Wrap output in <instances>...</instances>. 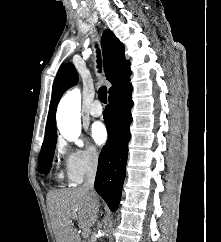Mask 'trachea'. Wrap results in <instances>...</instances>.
Instances as JSON below:
<instances>
[{"label": "trachea", "instance_id": "3493384b", "mask_svg": "<svg viewBox=\"0 0 221 242\" xmlns=\"http://www.w3.org/2000/svg\"><path fill=\"white\" fill-rule=\"evenodd\" d=\"M97 52H98V63H100L99 51ZM98 98L102 103H107V88L105 86L100 87V89L98 90Z\"/></svg>", "mask_w": 221, "mask_h": 242}]
</instances>
